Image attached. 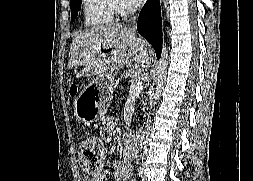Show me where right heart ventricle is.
<instances>
[{
  "instance_id": "1",
  "label": "right heart ventricle",
  "mask_w": 253,
  "mask_h": 181,
  "mask_svg": "<svg viewBox=\"0 0 253 181\" xmlns=\"http://www.w3.org/2000/svg\"><path fill=\"white\" fill-rule=\"evenodd\" d=\"M84 25L106 26L113 22L115 9L113 0H82Z\"/></svg>"
}]
</instances>
